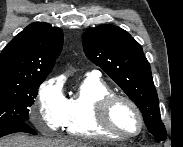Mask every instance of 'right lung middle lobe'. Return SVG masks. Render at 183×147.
I'll return each instance as SVG.
<instances>
[{
    "label": "right lung middle lobe",
    "mask_w": 183,
    "mask_h": 147,
    "mask_svg": "<svg viewBox=\"0 0 183 147\" xmlns=\"http://www.w3.org/2000/svg\"><path fill=\"white\" fill-rule=\"evenodd\" d=\"M44 80L45 78H38L21 84H0V128L29 119V108Z\"/></svg>",
    "instance_id": "1"
}]
</instances>
